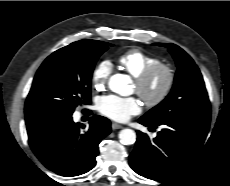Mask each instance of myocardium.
I'll use <instances>...</instances> for the list:
<instances>
[{
  "instance_id": "obj_1",
  "label": "myocardium",
  "mask_w": 230,
  "mask_h": 186,
  "mask_svg": "<svg viewBox=\"0 0 230 186\" xmlns=\"http://www.w3.org/2000/svg\"><path fill=\"white\" fill-rule=\"evenodd\" d=\"M160 73L165 77L164 85L157 95L151 96L147 92V87L152 79ZM175 79L176 73L174 68L170 64L159 62L148 67L140 75L135 77L136 92L148 106L154 107L161 104L169 96Z\"/></svg>"
}]
</instances>
